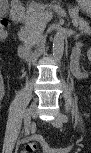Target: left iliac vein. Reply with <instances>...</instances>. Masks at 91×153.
I'll use <instances>...</instances> for the list:
<instances>
[{
  "label": "left iliac vein",
  "mask_w": 91,
  "mask_h": 153,
  "mask_svg": "<svg viewBox=\"0 0 91 153\" xmlns=\"http://www.w3.org/2000/svg\"><path fill=\"white\" fill-rule=\"evenodd\" d=\"M51 124H52L54 127L60 129V128L62 127V125H63V121H62V119H61V114L57 115V116L51 121Z\"/></svg>",
  "instance_id": "4c4485c4"
}]
</instances>
